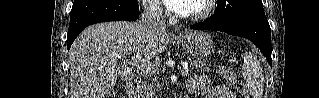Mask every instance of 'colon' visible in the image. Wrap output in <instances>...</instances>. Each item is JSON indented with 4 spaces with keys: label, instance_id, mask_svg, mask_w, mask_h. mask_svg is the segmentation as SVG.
Listing matches in <instances>:
<instances>
[{
    "label": "colon",
    "instance_id": "obj_1",
    "mask_svg": "<svg viewBox=\"0 0 319 98\" xmlns=\"http://www.w3.org/2000/svg\"><path fill=\"white\" fill-rule=\"evenodd\" d=\"M218 71L219 74L225 80H227L236 89L238 93L243 95L244 98H249L246 84L243 81L239 80L231 69L225 66H220L218 68Z\"/></svg>",
    "mask_w": 319,
    "mask_h": 98
}]
</instances>
